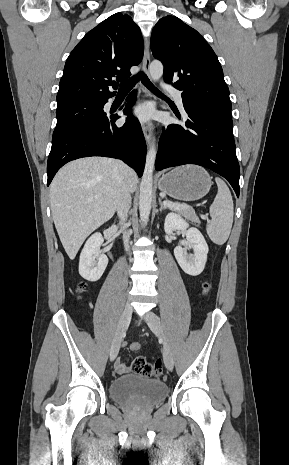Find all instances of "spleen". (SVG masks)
<instances>
[{"label": "spleen", "mask_w": 289, "mask_h": 465, "mask_svg": "<svg viewBox=\"0 0 289 465\" xmlns=\"http://www.w3.org/2000/svg\"><path fill=\"white\" fill-rule=\"evenodd\" d=\"M215 181L218 192L209 209L211 221L207 223L206 231L213 243L223 245L231 232L234 207L231 192L226 183L218 177Z\"/></svg>", "instance_id": "spleen-1"}]
</instances>
